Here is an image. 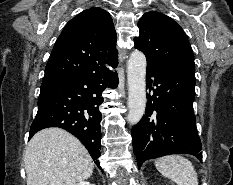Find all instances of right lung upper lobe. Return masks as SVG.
I'll list each match as a JSON object with an SVG mask.
<instances>
[{
  "label": "right lung upper lobe",
  "instance_id": "1",
  "mask_svg": "<svg viewBox=\"0 0 233 185\" xmlns=\"http://www.w3.org/2000/svg\"><path fill=\"white\" fill-rule=\"evenodd\" d=\"M116 31L110 14L87 9L64 27L57 39L42 80L50 81L106 70L118 64Z\"/></svg>",
  "mask_w": 233,
  "mask_h": 185
}]
</instances>
